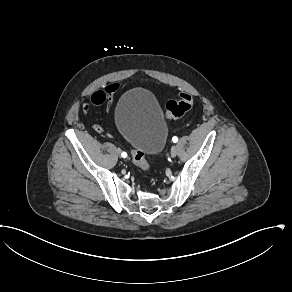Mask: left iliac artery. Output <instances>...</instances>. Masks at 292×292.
I'll return each mask as SVG.
<instances>
[{
    "label": "left iliac artery",
    "instance_id": "1",
    "mask_svg": "<svg viewBox=\"0 0 292 292\" xmlns=\"http://www.w3.org/2000/svg\"><path fill=\"white\" fill-rule=\"evenodd\" d=\"M172 141H173L174 143H176V142L178 141V138H177L176 136H174V137L172 138Z\"/></svg>",
    "mask_w": 292,
    "mask_h": 292
}]
</instances>
